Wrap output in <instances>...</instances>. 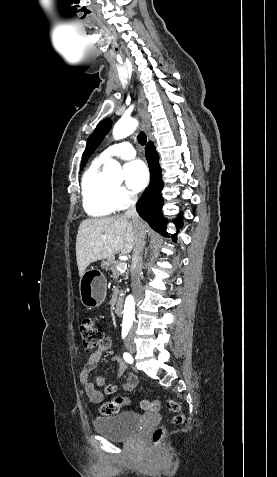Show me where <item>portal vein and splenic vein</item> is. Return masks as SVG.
I'll list each match as a JSON object with an SVG mask.
<instances>
[{
	"instance_id": "1",
	"label": "portal vein and splenic vein",
	"mask_w": 277,
	"mask_h": 477,
	"mask_svg": "<svg viewBox=\"0 0 277 477\" xmlns=\"http://www.w3.org/2000/svg\"><path fill=\"white\" fill-rule=\"evenodd\" d=\"M126 269H127V264L125 262H121L117 266V270L120 271V272H124Z\"/></svg>"
}]
</instances>
